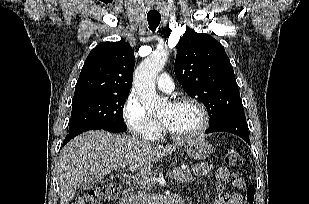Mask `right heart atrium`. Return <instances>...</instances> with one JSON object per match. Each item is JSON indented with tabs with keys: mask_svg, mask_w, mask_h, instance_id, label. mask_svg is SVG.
<instances>
[{
	"mask_svg": "<svg viewBox=\"0 0 309 204\" xmlns=\"http://www.w3.org/2000/svg\"><path fill=\"white\" fill-rule=\"evenodd\" d=\"M123 117L129 130L136 136L146 140H154L160 133L159 122L151 117L143 104L133 95H129L124 103Z\"/></svg>",
	"mask_w": 309,
	"mask_h": 204,
	"instance_id": "1",
	"label": "right heart atrium"
}]
</instances>
